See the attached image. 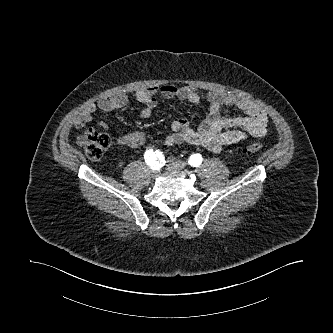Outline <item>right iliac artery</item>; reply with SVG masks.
Returning a JSON list of instances; mask_svg holds the SVG:
<instances>
[{
    "label": "right iliac artery",
    "mask_w": 333,
    "mask_h": 333,
    "mask_svg": "<svg viewBox=\"0 0 333 333\" xmlns=\"http://www.w3.org/2000/svg\"><path fill=\"white\" fill-rule=\"evenodd\" d=\"M144 158L146 163L152 168V169H160L161 162L164 160V155L161 151H153L152 149H149L145 152Z\"/></svg>",
    "instance_id": "obj_1"
}]
</instances>
